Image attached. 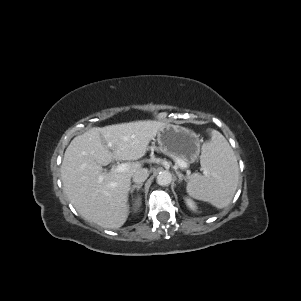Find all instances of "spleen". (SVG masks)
I'll list each match as a JSON object with an SVG mask.
<instances>
[{"label":"spleen","instance_id":"obj_1","mask_svg":"<svg viewBox=\"0 0 301 301\" xmlns=\"http://www.w3.org/2000/svg\"><path fill=\"white\" fill-rule=\"evenodd\" d=\"M200 163L203 175L191 177L187 193L217 208L226 207L236 192L239 169L232 148L218 131H212L211 141L202 146Z\"/></svg>","mask_w":301,"mask_h":301}]
</instances>
